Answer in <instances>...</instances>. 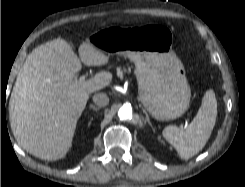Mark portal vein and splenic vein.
Masks as SVG:
<instances>
[{"label": "portal vein and splenic vein", "instance_id": "obj_1", "mask_svg": "<svg viewBox=\"0 0 245 187\" xmlns=\"http://www.w3.org/2000/svg\"><path fill=\"white\" fill-rule=\"evenodd\" d=\"M85 79V76H82L81 78H80V80H84Z\"/></svg>", "mask_w": 245, "mask_h": 187}]
</instances>
